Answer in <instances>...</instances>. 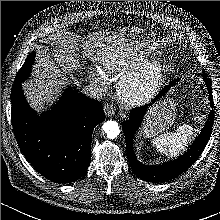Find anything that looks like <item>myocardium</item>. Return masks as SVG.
Instances as JSON below:
<instances>
[{
  "instance_id": "f54148a6",
  "label": "myocardium",
  "mask_w": 220,
  "mask_h": 220,
  "mask_svg": "<svg viewBox=\"0 0 220 220\" xmlns=\"http://www.w3.org/2000/svg\"><path fill=\"white\" fill-rule=\"evenodd\" d=\"M164 72L165 64L162 59L157 57L148 59L120 80L118 86L120 96L130 105L145 103L158 90Z\"/></svg>"
}]
</instances>
